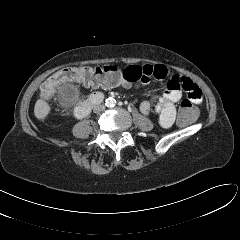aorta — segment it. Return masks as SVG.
I'll return each instance as SVG.
<instances>
[{
  "label": "aorta",
  "instance_id": "aorta-1",
  "mask_svg": "<svg viewBox=\"0 0 240 240\" xmlns=\"http://www.w3.org/2000/svg\"><path fill=\"white\" fill-rule=\"evenodd\" d=\"M115 103H116L115 99L110 97V98L106 99L105 105L107 107H113L115 105Z\"/></svg>",
  "mask_w": 240,
  "mask_h": 240
}]
</instances>
